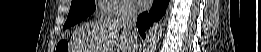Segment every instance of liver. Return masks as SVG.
Instances as JSON below:
<instances>
[{"instance_id": "1", "label": "liver", "mask_w": 261, "mask_h": 52, "mask_svg": "<svg viewBox=\"0 0 261 52\" xmlns=\"http://www.w3.org/2000/svg\"><path fill=\"white\" fill-rule=\"evenodd\" d=\"M78 52H133L131 36L117 24L116 19L104 18L85 24L77 32ZM114 47V51H111Z\"/></svg>"}]
</instances>
